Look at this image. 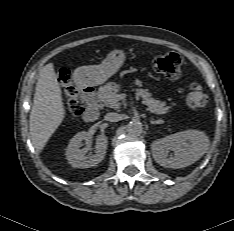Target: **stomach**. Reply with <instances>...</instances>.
<instances>
[{
	"instance_id": "1",
	"label": "stomach",
	"mask_w": 234,
	"mask_h": 231,
	"mask_svg": "<svg viewBox=\"0 0 234 231\" xmlns=\"http://www.w3.org/2000/svg\"><path fill=\"white\" fill-rule=\"evenodd\" d=\"M125 53L115 49L109 52L100 65L81 66L74 71V79L80 86H97L107 81L123 65Z\"/></svg>"
}]
</instances>
